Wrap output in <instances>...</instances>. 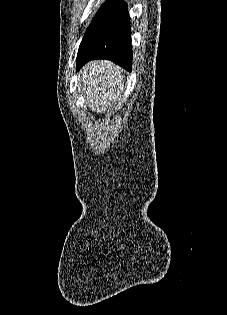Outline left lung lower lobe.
<instances>
[{
	"mask_svg": "<svg viewBox=\"0 0 227 315\" xmlns=\"http://www.w3.org/2000/svg\"><path fill=\"white\" fill-rule=\"evenodd\" d=\"M95 59L111 60L132 70L129 14L123 0H107L96 13L79 46L77 71Z\"/></svg>",
	"mask_w": 227,
	"mask_h": 315,
	"instance_id": "0a47b994",
	"label": "left lung lower lobe"
}]
</instances>
